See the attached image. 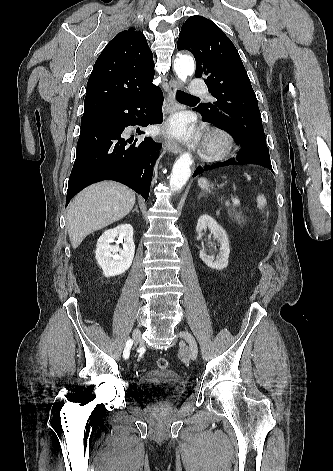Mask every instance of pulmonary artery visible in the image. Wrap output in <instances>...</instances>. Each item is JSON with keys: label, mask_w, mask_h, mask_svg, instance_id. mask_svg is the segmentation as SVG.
<instances>
[{"label": "pulmonary artery", "mask_w": 333, "mask_h": 471, "mask_svg": "<svg viewBox=\"0 0 333 471\" xmlns=\"http://www.w3.org/2000/svg\"><path fill=\"white\" fill-rule=\"evenodd\" d=\"M189 92L191 95H196V96L205 95L207 94V87L202 80L193 79L190 84Z\"/></svg>", "instance_id": "obj_1"}]
</instances>
